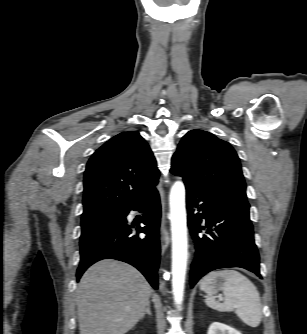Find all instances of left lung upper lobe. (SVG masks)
Listing matches in <instances>:
<instances>
[{"instance_id":"obj_1","label":"left lung upper lobe","mask_w":307,"mask_h":334,"mask_svg":"<svg viewBox=\"0 0 307 334\" xmlns=\"http://www.w3.org/2000/svg\"><path fill=\"white\" fill-rule=\"evenodd\" d=\"M171 173L184 183L247 201L246 184L233 147L213 134L191 130L172 157Z\"/></svg>"}]
</instances>
